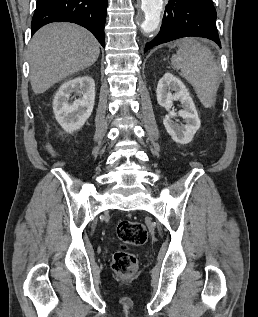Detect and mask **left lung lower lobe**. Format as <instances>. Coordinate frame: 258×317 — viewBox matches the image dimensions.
I'll return each instance as SVG.
<instances>
[{"label": "left lung lower lobe", "instance_id": "left-lung-lower-lobe-1", "mask_svg": "<svg viewBox=\"0 0 258 317\" xmlns=\"http://www.w3.org/2000/svg\"><path fill=\"white\" fill-rule=\"evenodd\" d=\"M188 36L208 38L221 47L212 0H169L161 30L146 44L144 52L159 44Z\"/></svg>", "mask_w": 258, "mask_h": 317}]
</instances>
